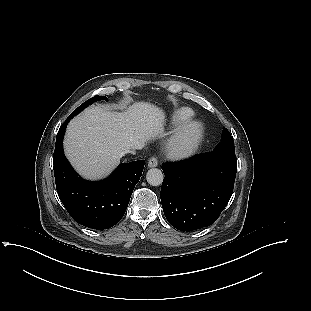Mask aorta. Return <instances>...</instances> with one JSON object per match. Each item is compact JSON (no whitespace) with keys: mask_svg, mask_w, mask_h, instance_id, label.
Here are the masks:
<instances>
[{"mask_svg":"<svg viewBox=\"0 0 311 311\" xmlns=\"http://www.w3.org/2000/svg\"><path fill=\"white\" fill-rule=\"evenodd\" d=\"M163 173L160 169L152 168L146 174V180L151 186H159L163 182Z\"/></svg>","mask_w":311,"mask_h":311,"instance_id":"1","label":"aorta"}]
</instances>
